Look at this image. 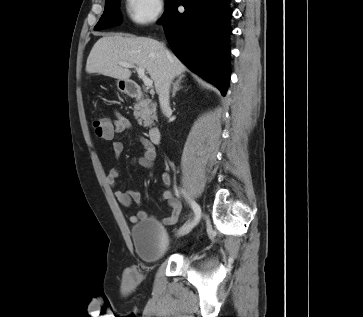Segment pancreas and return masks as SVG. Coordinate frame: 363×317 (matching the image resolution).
Returning <instances> with one entry per match:
<instances>
[{
    "instance_id": "1",
    "label": "pancreas",
    "mask_w": 363,
    "mask_h": 317,
    "mask_svg": "<svg viewBox=\"0 0 363 317\" xmlns=\"http://www.w3.org/2000/svg\"><path fill=\"white\" fill-rule=\"evenodd\" d=\"M148 99L142 100L134 105V116L141 123L143 120L144 127H151L153 121L157 119L154 109H150Z\"/></svg>"
}]
</instances>
